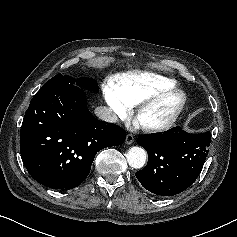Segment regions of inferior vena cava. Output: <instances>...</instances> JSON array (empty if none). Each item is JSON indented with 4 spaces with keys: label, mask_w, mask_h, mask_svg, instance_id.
Instances as JSON below:
<instances>
[{
    "label": "inferior vena cava",
    "mask_w": 237,
    "mask_h": 237,
    "mask_svg": "<svg viewBox=\"0 0 237 237\" xmlns=\"http://www.w3.org/2000/svg\"><path fill=\"white\" fill-rule=\"evenodd\" d=\"M94 112L96 116L103 121L110 122V123H114L118 121V117L113 112V110L105 106L97 107Z\"/></svg>",
    "instance_id": "1"
}]
</instances>
